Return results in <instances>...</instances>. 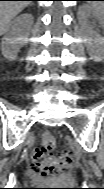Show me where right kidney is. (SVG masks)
Returning <instances> with one entry per match:
<instances>
[{"label": "right kidney", "mask_w": 104, "mask_h": 189, "mask_svg": "<svg viewBox=\"0 0 104 189\" xmlns=\"http://www.w3.org/2000/svg\"><path fill=\"white\" fill-rule=\"evenodd\" d=\"M32 20V15L23 14L14 21L11 29L1 41V51L5 58L11 60L16 58L25 41L24 29L32 23Z\"/></svg>", "instance_id": "obj_1"}]
</instances>
